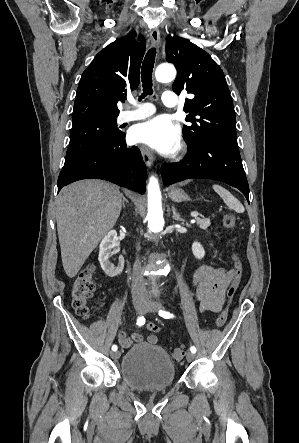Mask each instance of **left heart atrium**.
Masks as SVG:
<instances>
[{"instance_id": "obj_1", "label": "left heart atrium", "mask_w": 299, "mask_h": 443, "mask_svg": "<svg viewBox=\"0 0 299 443\" xmlns=\"http://www.w3.org/2000/svg\"><path fill=\"white\" fill-rule=\"evenodd\" d=\"M130 139L134 143L146 144L165 154L175 152L180 144L179 129L165 116H158L135 126Z\"/></svg>"}]
</instances>
